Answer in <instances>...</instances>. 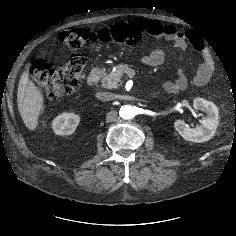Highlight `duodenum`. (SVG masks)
<instances>
[{
	"label": "duodenum",
	"mask_w": 236,
	"mask_h": 236,
	"mask_svg": "<svg viewBox=\"0 0 236 236\" xmlns=\"http://www.w3.org/2000/svg\"><path fill=\"white\" fill-rule=\"evenodd\" d=\"M102 73H103L102 67H100V66H95V67L91 70V72L89 73V75L87 76V79H86L87 84H88V85H95V84L99 81V79H100Z\"/></svg>",
	"instance_id": "obj_1"
}]
</instances>
